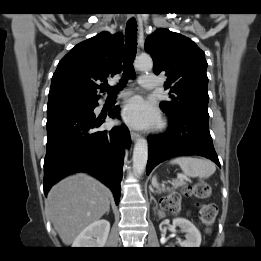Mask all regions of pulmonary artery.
<instances>
[{
  "label": "pulmonary artery",
  "instance_id": "1",
  "mask_svg": "<svg viewBox=\"0 0 261 261\" xmlns=\"http://www.w3.org/2000/svg\"><path fill=\"white\" fill-rule=\"evenodd\" d=\"M139 83L143 88L154 89L157 87L158 78L154 75H141L139 77ZM126 92H121L119 95H124Z\"/></svg>",
  "mask_w": 261,
  "mask_h": 261
}]
</instances>
